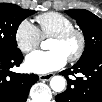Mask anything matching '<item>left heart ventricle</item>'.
I'll return each instance as SVG.
<instances>
[{"mask_svg":"<svg viewBox=\"0 0 102 102\" xmlns=\"http://www.w3.org/2000/svg\"><path fill=\"white\" fill-rule=\"evenodd\" d=\"M79 40L77 37H73L68 42L62 43L52 39L49 45V49L60 52L65 58L76 52L78 49Z\"/></svg>","mask_w":102,"mask_h":102,"instance_id":"obj_1","label":"left heart ventricle"}]
</instances>
